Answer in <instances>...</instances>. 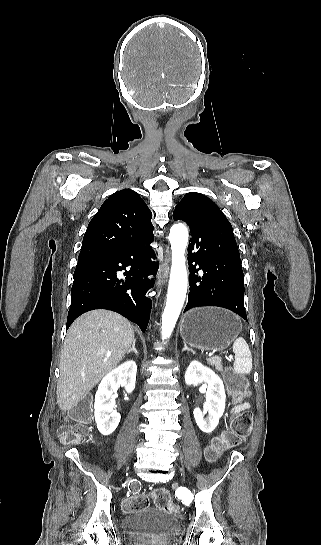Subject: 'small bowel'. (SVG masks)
I'll list each match as a JSON object with an SVG mask.
<instances>
[{
  "mask_svg": "<svg viewBox=\"0 0 321 545\" xmlns=\"http://www.w3.org/2000/svg\"><path fill=\"white\" fill-rule=\"evenodd\" d=\"M233 402H234L235 406L232 409V413L240 412V411H242L244 409H247L249 407V405L247 403H242L240 401V399L235 398Z\"/></svg>",
  "mask_w": 321,
  "mask_h": 545,
  "instance_id": "c3829d8e",
  "label": "small bowel"
}]
</instances>
